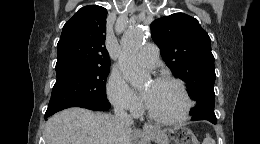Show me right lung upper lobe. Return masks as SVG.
<instances>
[{"mask_svg":"<svg viewBox=\"0 0 260 144\" xmlns=\"http://www.w3.org/2000/svg\"><path fill=\"white\" fill-rule=\"evenodd\" d=\"M107 10L101 6L82 7L66 22L57 44L56 68L64 66L110 67L105 48Z\"/></svg>","mask_w":260,"mask_h":144,"instance_id":"1","label":"right lung upper lobe"}]
</instances>
